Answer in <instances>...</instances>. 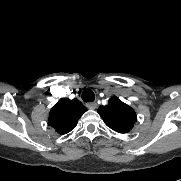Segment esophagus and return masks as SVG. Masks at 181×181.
Masks as SVG:
<instances>
[{"label": "esophagus", "mask_w": 181, "mask_h": 181, "mask_svg": "<svg viewBox=\"0 0 181 181\" xmlns=\"http://www.w3.org/2000/svg\"><path fill=\"white\" fill-rule=\"evenodd\" d=\"M86 107H87L88 109L94 110V109L97 108V103H95V102H89V103L86 104Z\"/></svg>", "instance_id": "esophagus-1"}]
</instances>
